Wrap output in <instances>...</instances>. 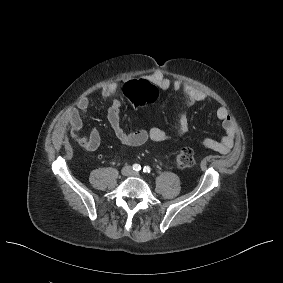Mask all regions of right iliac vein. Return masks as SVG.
Wrapping results in <instances>:
<instances>
[{
	"label": "right iliac vein",
	"mask_w": 283,
	"mask_h": 283,
	"mask_svg": "<svg viewBox=\"0 0 283 283\" xmlns=\"http://www.w3.org/2000/svg\"><path fill=\"white\" fill-rule=\"evenodd\" d=\"M132 172L131 167L130 166H125L122 168L121 173L122 175H129Z\"/></svg>",
	"instance_id": "1"
}]
</instances>
